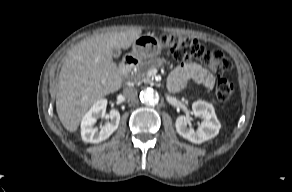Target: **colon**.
Masks as SVG:
<instances>
[{"label":"colon","instance_id":"5ec220e1","mask_svg":"<svg viewBox=\"0 0 292 192\" xmlns=\"http://www.w3.org/2000/svg\"><path fill=\"white\" fill-rule=\"evenodd\" d=\"M160 42L181 63L200 61L208 71L218 76L215 87L217 98L221 101L230 98L234 89L233 83L222 75L232 68V63L223 51L209 50L196 39L176 33L162 34Z\"/></svg>","mask_w":292,"mask_h":192}]
</instances>
